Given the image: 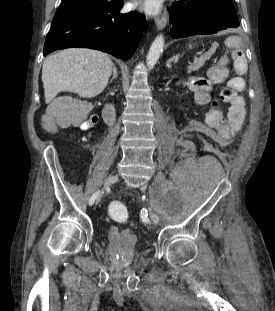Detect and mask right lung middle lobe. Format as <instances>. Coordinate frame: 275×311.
Wrapping results in <instances>:
<instances>
[{
	"label": "right lung middle lobe",
	"mask_w": 275,
	"mask_h": 311,
	"mask_svg": "<svg viewBox=\"0 0 275 311\" xmlns=\"http://www.w3.org/2000/svg\"><path fill=\"white\" fill-rule=\"evenodd\" d=\"M111 3L112 2H108V0H65L62 1V4L58 7L54 19L75 12L103 8Z\"/></svg>",
	"instance_id": "right-lung-middle-lobe-1"
}]
</instances>
